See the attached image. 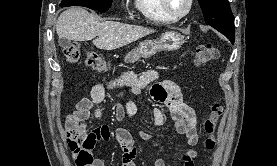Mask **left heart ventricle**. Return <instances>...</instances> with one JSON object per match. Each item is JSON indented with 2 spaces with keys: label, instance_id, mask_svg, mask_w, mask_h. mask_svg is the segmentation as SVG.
<instances>
[{
  "label": "left heart ventricle",
  "instance_id": "b2bd125f",
  "mask_svg": "<svg viewBox=\"0 0 277 166\" xmlns=\"http://www.w3.org/2000/svg\"><path fill=\"white\" fill-rule=\"evenodd\" d=\"M169 7L175 13H182L186 10L188 0H168Z\"/></svg>",
  "mask_w": 277,
  "mask_h": 166
}]
</instances>
